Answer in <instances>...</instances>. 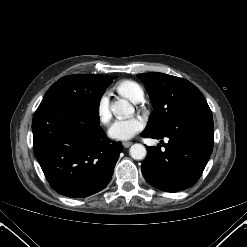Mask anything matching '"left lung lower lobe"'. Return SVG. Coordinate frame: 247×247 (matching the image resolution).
Instances as JSON below:
<instances>
[{"mask_svg":"<svg viewBox=\"0 0 247 247\" xmlns=\"http://www.w3.org/2000/svg\"><path fill=\"white\" fill-rule=\"evenodd\" d=\"M142 136L169 139L163 144L164 150L160 144L146 146L147 157L141 167L145 179L163 191H181L197 182L211 155L214 143L212 113L195 114L163 132L143 131Z\"/></svg>","mask_w":247,"mask_h":247,"instance_id":"1","label":"left lung lower lobe"}]
</instances>
